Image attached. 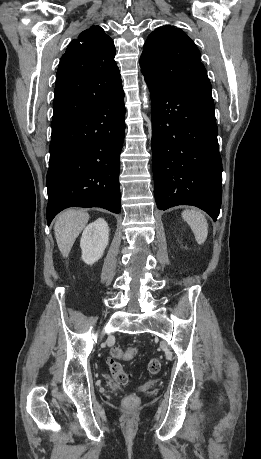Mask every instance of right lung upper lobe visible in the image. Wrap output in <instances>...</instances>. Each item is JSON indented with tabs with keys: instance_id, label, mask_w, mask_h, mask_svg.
I'll use <instances>...</instances> for the list:
<instances>
[{
	"instance_id": "1",
	"label": "right lung upper lobe",
	"mask_w": 261,
	"mask_h": 459,
	"mask_svg": "<svg viewBox=\"0 0 261 459\" xmlns=\"http://www.w3.org/2000/svg\"><path fill=\"white\" fill-rule=\"evenodd\" d=\"M115 52L99 26L71 41L56 74L52 128L87 113L122 88Z\"/></svg>"
}]
</instances>
